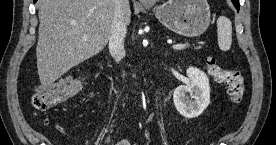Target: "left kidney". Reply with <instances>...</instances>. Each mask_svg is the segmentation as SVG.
Listing matches in <instances>:
<instances>
[{"label": "left kidney", "instance_id": "obj_1", "mask_svg": "<svg viewBox=\"0 0 276 145\" xmlns=\"http://www.w3.org/2000/svg\"><path fill=\"white\" fill-rule=\"evenodd\" d=\"M186 73L188 83L175 89L173 100L177 111L185 118L191 119L198 117L208 107L210 85L207 75L200 69L189 67Z\"/></svg>", "mask_w": 276, "mask_h": 145}]
</instances>
